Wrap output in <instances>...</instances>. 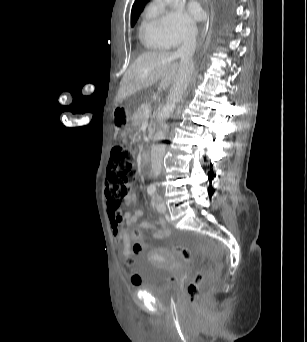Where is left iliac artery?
Masks as SVG:
<instances>
[{
    "mask_svg": "<svg viewBox=\"0 0 307 342\" xmlns=\"http://www.w3.org/2000/svg\"><path fill=\"white\" fill-rule=\"evenodd\" d=\"M154 200H155V197L153 196V198H152V202H153V204H154Z\"/></svg>",
    "mask_w": 307,
    "mask_h": 342,
    "instance_id": "obj_1",
    "label": "left iliac artery"
}]
</instances>
